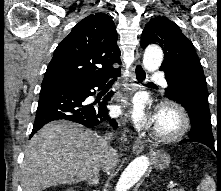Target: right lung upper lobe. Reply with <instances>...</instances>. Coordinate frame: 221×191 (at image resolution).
Returning <instances> with one entry per match:
<instances>
[{"label": "right lung upper lobe", "mask_w": 221, "mask_h": 191, "mask_svg": "<svg viewBox=\"0 0 221 191\" xmlns=\"http://www.w3.org/2000/svg\"><path fill=\"white\" fill-rule=\"evenodd\" d=\"M112 19L95 13L80 21L57 46L41 87L86 84L103 80L120 69V49Z\"/></svg>", "instance_id": "1"}]
</instances>
